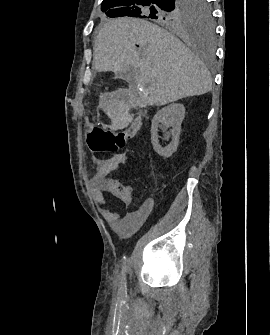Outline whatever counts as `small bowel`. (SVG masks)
<instances>
[{"instance_id": "1", "label": "small bowel", "mask_w": 270, "mask_h": 335, "mask_svg": "<svg viewBox=\"0 0 270 335\" xmlns=\"http://www.w3.org/2000/svg\"><path fill=\"white\" fill-rule=\"evenodd\" d=\"M135 124L139 125L138 123ZM127 161L128 156L124 153L117 154L108 160L96 161V171L93 177V196L98 202L106 205L103 193H107L119 200L124 206L125 212L123 214L107 206L100 209L101 215L111 228L123 236L139 229L145 218L140 210L133 208V188L109 177L111 172L126 164Z\"/></svg>"}]
</instances>
